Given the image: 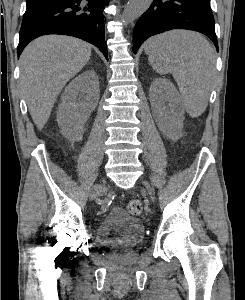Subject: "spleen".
Wrapping results in <instances>:
<instances>
[{
    "label": "spleen",
    "instance_id": "spleen-1",
    "mask_svg": "<svg viewBox=\"0 0 245 300\" xmlns=\"http://www.w3.org/2000/svg\"><path fill=\"white\" fill-rule=\"evenodd\" d=\"M145 53L155 72L171 73L192 117L206 109L214 73V51L200 34L174 30L148 39Z\"/></svg>",
    "mask_w": 245,
    "mask_h": 300
}]
</instances>
